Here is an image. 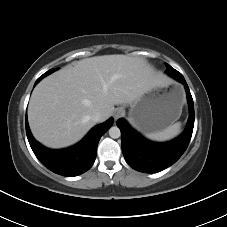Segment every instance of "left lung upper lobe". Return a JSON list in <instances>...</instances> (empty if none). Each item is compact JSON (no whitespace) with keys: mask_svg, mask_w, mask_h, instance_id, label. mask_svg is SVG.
<instances>
[{"mask_svg":"<svg viewBox=\"0 0 227 227\" xmlns=\"http://www.w3.org/2000/svg\"><path fill=\"white\" fill-rule=\"evenodd\" d=\"M166 67H167V70H166L167 74L171 75V72L178 73V71L172 68L169 64H166Z\"/></svg>","mask_w":227,"mask_h":227,"instance_id":"5c2ea615","label":"left lung upper lobe"}]
</instances>
